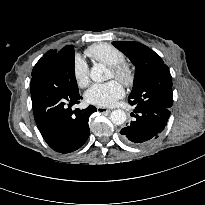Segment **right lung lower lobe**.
Returning <instances> with one entry per match:
<instances>
[{"instance_id": "98d812e1", "label": "right lung lower lobe", "mask_w": 205, "mask_h": 205, "mask_svg": "<svg viewBox=\"0 0 205 205\" xmlns=\"http://www.w3.org/2000/svg\"><path fill=\"white\" fill-rule=\"evenodd\" d=\"M31 98L34 118L47 144L60 153L80 148L89 137L88 120L97 109L71 107L82 97L74 76V49L60 50L51 64L31 79Z\"/></svg>"}]
</instances>
